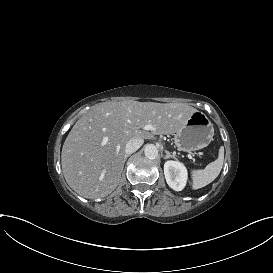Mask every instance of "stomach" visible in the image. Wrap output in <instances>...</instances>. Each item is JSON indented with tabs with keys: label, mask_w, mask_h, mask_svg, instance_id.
I'll use <instances>...</instances> for the list:
<instances>
[{
	"label": "stomach",
	"mask_w": 273,
	"mask_h": 273,
	"mask_svg": "<svg viewBox=\"0 0 273 273\" xmlns=\"http://www.w3.org/2000/svg\"><path fill=\"white\" fill-rule=\"evenodd\" d=\"M213 136V124L204 113L197 111L176 132L174 142L179 150L191 152L207 147Z\"/></svg>",
	"instance_id": "0dacf381"
}]
</instances>
